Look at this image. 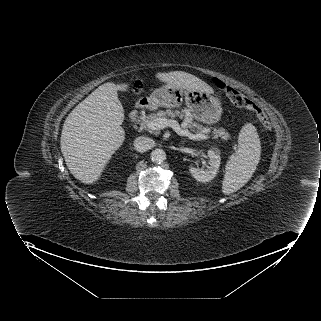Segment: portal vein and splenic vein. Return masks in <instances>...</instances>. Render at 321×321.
Wrapping results in <instances>:
<instances>
[{"label":"portal vein and splenic vein","instance_id":"portal-vein-and-splenic-vein-1","mask_svg":"<svg viewBox=\"0 0 321 321\" xmlns=\"http://www.w3.org/2000/svg\"><path fill=\"white\" fill-rule=\"evenodd\" d=\"M148 127L152 130L164 129L166 127H171L175 130V132L180 136L188 137L191 140H203L206 139L207 136L205 134H193L187 129H183L180 127L179 123L175 120L160 118L156 119L149 123Z\"/></svg>","mask_w":321,"mask_h":321}]
</instances>
